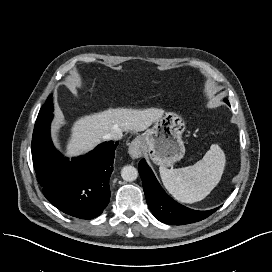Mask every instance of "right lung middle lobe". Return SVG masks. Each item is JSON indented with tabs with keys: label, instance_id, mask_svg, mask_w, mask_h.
Masks as SVG:
<instances>
[{
	"label": "right lung middle lobe",
	"instance_id": "right-lung-middle-lobe-1",
	"mask_svg": "<svg viewBox=\"0 0 272 272\" xmlns=\"http://www.w3.org/2000/svg\"><path fill=\"white\" fill-rule=\"evenodd\" d=\"M53 99H52V94L47 98L46 102L44 103V105L42 106V108L40 109V112L38 114V116L41 115H45L48 113H52L53 111Z\"/></svg>",
	"mask_w": 272,
	"mask_h": 272
}]
</instances>
